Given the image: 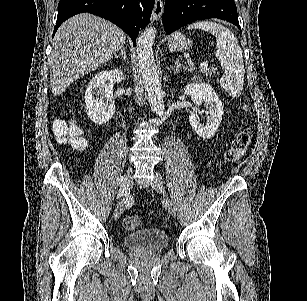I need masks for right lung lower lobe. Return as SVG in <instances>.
I'll return each mask as SVG.
<instances>
[{
	"mask_svg": "<svg viewBox=\"0 0 307 301\" xmlns=\"http://www.w3.org/2000/svg\"><path fill=\"white\" fill-rule=\"evenodd\" d=\"M153 7L154 0H60L54 34L69 17L88 12L119 26L135 45L140 29L150 21Z\"/></svg>",
	"mask_w": 307,
	"mask_h": 301,
	"instance_id": "obj_1",
	"label": "right lung lower lobe"
}]
</instances>
